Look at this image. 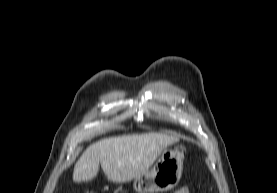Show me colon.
Here are the masks:
<instances>
[{
  "instance_id": "5ec220e1",
  "label": "colon",
  "mask_w": 277,
  "mask_h": 193,
  "mask_svg": "<svg viewBox=\"0 0 277 193\" xmlns=\"http://www.w3.org/2000/svg\"><path fill=\"white\" fill-rule=\"evenodd\" d=\"M85 193H89V192H85ZM174 193H190V188L189 186L185 185L179 188L178 190H176Z\"/></svg>"
}]
</instances>
